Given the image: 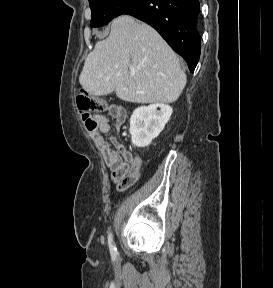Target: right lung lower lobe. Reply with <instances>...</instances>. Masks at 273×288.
Wrapping results in <instances>:
<instances>
[{"label": "right lung lower lobe", "mask_w": 273, "mask_h": 288, "mask_svg": "<svg viewBox=\"0 0 273 288\" xmlns=\"http://www.w3.org/2000/svg\"><path fill=\"white\" fill-rule=\"evenodd\" d=\"M199 0H135L123 14L151 25L194 69L199 61L201 39L196 28Z\"/></svg>", "instance_id": "1"}]
</instances>
